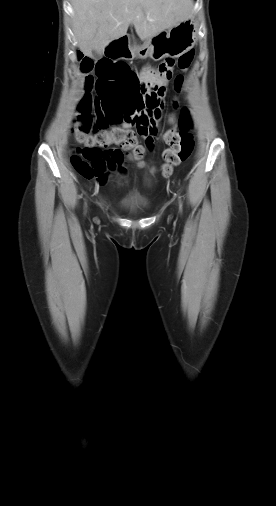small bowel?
Wrapping results in <instances>:
<instances>
[{
	"mask_svg": "<svg viewBox=\"0 0 276 506\" xmlns=\"http://www.w3.org/2000/svg\"><path fill=\"white\" fill-rule=\"evenodd\" d=\"M168 78L165 74L161 73L158 68H153L149 65L145 66L142 70V82H150L153 85L160 86L166 89ZM161 112L162 107L158 110L157 114L153 117L152 120V127H151V133L156 134L157 133V127L161 118ZM124 126H128L127 124H124ZM148 133H145L143 135H147ZM122 156L120 155H113L109 158L107 162V166L112 168L116 163H119L121 161ZM107 174L102 173L98 177H96L97 183L100 186H103L107 181Z\"/></svg>",
	"mask_w": 276,
	"mask_h": 506,
	"instance_id": "1",
	"label": "small bowel"
}]
</instances>
